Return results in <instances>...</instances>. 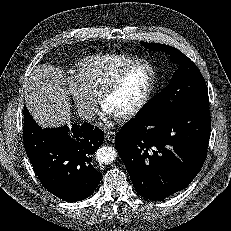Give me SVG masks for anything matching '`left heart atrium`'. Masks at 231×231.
I'll use <instances>...</instances> for the list:
<instances>
[{"instance_id":"left-heart-atrium-1","label":"left heart atrium","mask_w":231,"mask_h":231,"mask_svg":"<svg viewBox=\"0 0 231 231\" xmlns=\"http://www.w3.org/2000/svg\"><path fill=\"white\" fill-rule=\"evenodd\" d=\"M102 114L105 117H112V116H114L105 107H103Z\"/></svg>"}]
</instances>
